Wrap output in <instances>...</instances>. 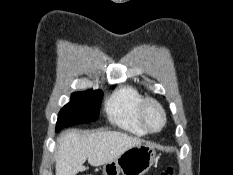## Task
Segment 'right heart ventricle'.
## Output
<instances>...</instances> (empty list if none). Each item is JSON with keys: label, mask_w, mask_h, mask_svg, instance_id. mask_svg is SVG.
Returning a JSON list of instances; mask_svg holds the SVG:
<instances>
[{"label": "right heart ventricle", "mask_w": 233, "mask_h": 175, "mask_svg": "<svg viewBox=\"0 0 233 175\" xmlns=\"http://www.w3.org/2000/svg\"><path fill=\"white\" fill-rule=\"evenodd\" d=\"M143 94L132 86L116 89L105 102L106 116L119 128L136 135H144L147 130L139 118V106Z\"/></svg>", "instance_id": "right-heart-ventricle-1"}]
</instances>
